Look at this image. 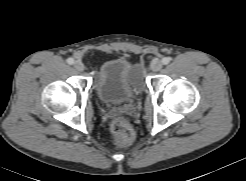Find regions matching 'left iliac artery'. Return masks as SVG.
Listing matches in <instances>:
<instances>
[{"mask_svg":"<svg viewBox=\"0 0 246 181\" xmlns=\"http://www.w3.org/2000/svg\"><path fill=\"white\" fill-rule=\"evenodd\" d=\"M170 61H171V58H170V57H164V58L162 59V63H163L164 65L169 64Z\"/></svg>","mask_w":246,"mask_h":181,"instance_id":"44dca946","label":"left iliac artery"}]
</instances>
